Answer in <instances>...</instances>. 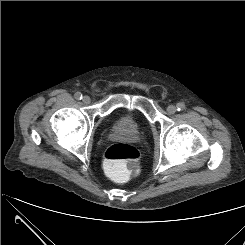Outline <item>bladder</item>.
Segmentation results:
<instances>
[{
    "label": "bladder",
    "mask_w": 245,
    "mask_h": 245,
    "mask_svg": "<svg viewBox=\"0 0 245 245\" xmlns=\"http://www.w3.org/2000/svg\"><path fill=\"white\" fill-rule=\"evenodd\" d=\"M118 125L123 128L132 129L135 128L134 122L129 117H120L118 119Z\"/></svg>",
    "instance_id": "obj_1"
}]
</instances>
